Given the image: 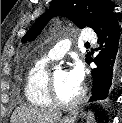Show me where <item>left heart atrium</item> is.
Masks as SVG:
<instances>
[{
  "label": "left heart atrium",
  "mask_w": 122,
  "mask_h": 123,
  "mask_svg": "<svg viewBox=\"0 0 122 123\" xmlns=\"http://www.w3.org/2000/svg\"><path fill=\"white\" fill-rule=\"evenodd\" d=\"M69 78L77 85H81L84 80V69L80 62H75L68 70Z\"/></svg>",
  "instance_id": "1"
}]
</instances>
